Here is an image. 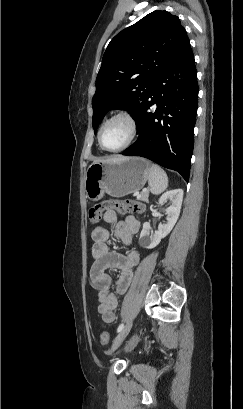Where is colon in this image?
Masks as SVG:
<instances>
[{
  "mask_svg": "<svg viewBox=\"0 0 243 409\" xmlns=\"http://www.w3.org/2000/svg\"><path fill=\"white\" fill-rule=\"evenodd\" d=\"M116 210L119 214H142L144 212L143 204L133 199L109 200L96 203L88 210V219L90 223L95 224L100 221L104 211ZM109 342V335L106 331L100 334V343L106 346Z\"/></svg>",
  "mask_w": 243,
  "mask_h": 409,
  "instance_id": "5ec220e1",
  "label": "colon"
}]
</instances>
